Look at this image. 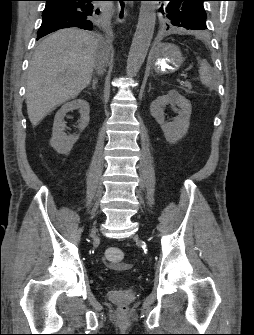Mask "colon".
<instances>
[{
  "instance_id": "obj_1",
  "label": "colon",
  "mask_w": 254,
  "mask_h": 335,
  "mask_svg": "<svg viewBox=\"0 0 254 335\" xmlns=\"http://www.w3.org/2000/svg\"><path fill=\"white\" fill-rule=\"evenodd\" d=\"M124 252L117 247H109L105 250V259L111 265H119L124 260ZM125 306H122L121 309L125 310Z\"/></svg>"
}]
</instances>
